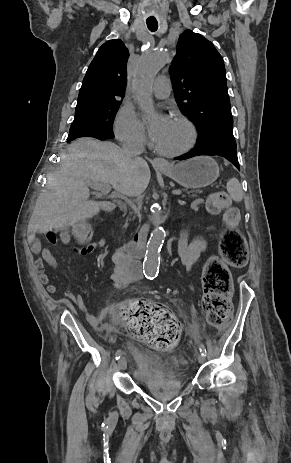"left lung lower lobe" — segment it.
<instances>
[{
	"instance_id": "obj_1",
	"label": "left lung lower lobe",
	"mask_w": 291,
	"mask_h": 463,
	"mask_svg": "<svg viewBox=\"0 0 291 463\" xmlns=\"http://www.w3.org/2000/svg\"><path fill=\"white\" fill-rule=\"evenodd\" d=\"M200 155H218L224 157L231 163H233L238 170H240L236 148L231 147H224L218 145H203L200 143H196L194 149L180 157H177L176 159L185 160Z\"/></svg>"
}]
</instances>
